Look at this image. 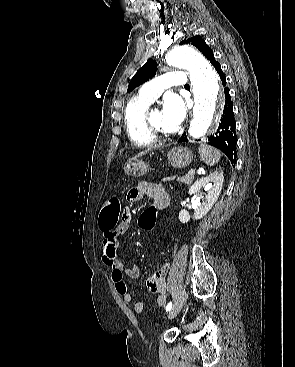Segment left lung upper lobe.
I'll use <instances>...</instances> for the list:
<instances>
[{
  "mask_svg": "<svg viewBox=\"0 0 295 367\" xmlns=\"http://www.w3.org/2000/svg\"><path fill=\"white\" fill-rule=\"evenodd\" d=\"M181 45L183 44H190L195 46L202 54L211 61L214 58L212 49L206 44L205 40L196 35L191 38L184 39L180 42ZM157 71V65L153 59H149L133 76L131 79L128 91L131 92L137 86L143 84L144 82L148 81L150 78L154 77Z\"/></svg>",
  "mask_w": 295,
  "mask_h": 367,
  "instance_id": "5c2ea615",
  "label": "left lung upper lobe"
}]
</instances>
